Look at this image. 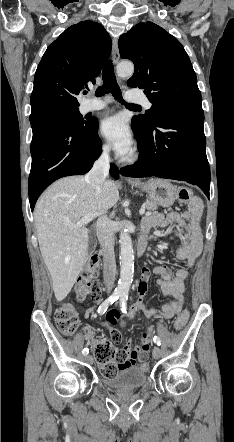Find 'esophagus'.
<instances>
[{
	"label": "esophagus",
	"mask_w": 234,
	"mask_h": 442,
	"mask_svg": "<svg viewBox=\"0 0 234 442\" xmlns=\"http://www.w3.org/2000/svg\"><path fill=\"white\" fill-rule=\"evenodd\" d=\"M119 49H118V39L114 38L112 43V59L114 63H117L119 61ZM122 173H124V170H121ZM125 180L131 182L133 181L130 177H124Z\"/></svg>",
	"instance_id": "obj_1"
}]
</instances>
